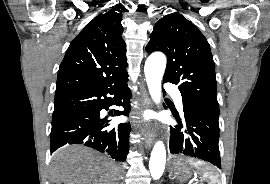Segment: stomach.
<instances>
[{"instance_id": "1", "label": "stomach", "mask_w": 270, "mask_h": 184, "mask_svg": "<svg viewBox=\"0 0 270 184\" xmlns=\"http://www.w3.org/2000/svg\"><path fill=\"white\" fill-rule=\"evenodd\" d=\"M170 175L179 180V181H187L192 176L191 168L182 160L175 159L170 162L169 165Z\"/></svg>"}]
</instances>
